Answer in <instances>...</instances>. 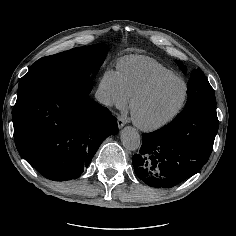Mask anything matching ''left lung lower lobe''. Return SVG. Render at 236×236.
Returning <instances> with one entry per match:
<instances>
[{
    "mask_svg": "<svg viewBox=\"0 0 236 236\" xmlns=\"http://www.w3.org/2000/svg\"><path fill=\"white\" fill-rule=\"evenodd\" d=\"M216 108L191 106L162 129L144 133L132 158L137 176L152 187H173L206 164L218 131Z\"/></svg>",
    "mask_w": 236,
    "mask_h": 236,
    "instance_id": "left-lung-lower-lobe-1",
    "label": "left lung lower lobe"
}]
</instances>
